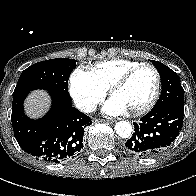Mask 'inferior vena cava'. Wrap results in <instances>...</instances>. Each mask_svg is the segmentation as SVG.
I'll use <instances>...</instances> for the list:
<instances>
[{
	"label": "inferior vena cava",
	"instance_id": "inferior-vena-cava-1",
	"mask_svg": "<svg viewBox=\"0 0 196 196\" xmlns=\"http://www.w3.org/2000/svg\"><path fill=\"white\" fill-rule=\"evenodd\" d=\"M76 107L86 113H90L96 109V105L90 101L82 100L76 103Z\"/></svg>",
	"mask_w": 196,
	"mask_h": 196
}]
</instances>
